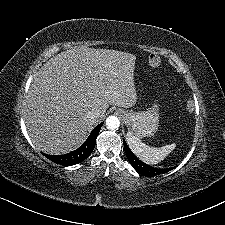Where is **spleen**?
<instances>
[{"label": "spleen", "mask_w": 225, "mask_h": 225, "mask_svg": "<svg viewBox=\"0 0 225 225\" xmlns=\"http://www.w3.org/2000/svg\"><path fill=\"white\" fill-rule=\"evenodd\" d=\"M127 144L132 152L143 162L149 165L157 164L175 149V144L162 147H150L144 144L139 138L128 132L126 136Z\"/></svg>", "instance_id": "obj_1"}]
</instances>
